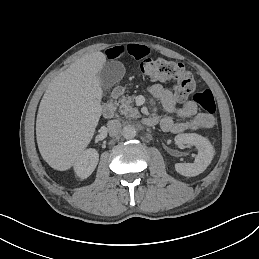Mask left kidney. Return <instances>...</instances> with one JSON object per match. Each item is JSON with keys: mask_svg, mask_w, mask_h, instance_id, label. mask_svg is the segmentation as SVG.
Wrapping results in <instances>:
<instances>
[{"mask_svg": "<svg viewBox=\"0 0 259 259\" xmlns=\"http://www.w3.org/2000/svg\"><path fill=\"white\" fill-rule=\"evenodd\" d=\"M175 144L181 146L183 144L194 145L198 149V155L195 157L194 163H176L175 169L183 176H197L202 173L211 163L214 156V148L210 141L205 137L196 133H184L175 136Z\"/></svg>", "mask_w": 259, "mask_h": 259, "instance_id": "left-kidney-1", "label": "left kidney"}]
</instances>
